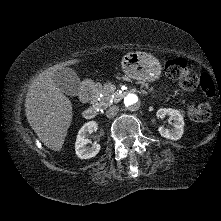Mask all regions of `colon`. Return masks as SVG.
<instances>
[{"mask_svg": "<svg viewBox=\"0 0 221 221\" xmlns=\"http://www.w3.org/2000/svg\"><path fill=\"white\" fill-rule=\"evenodd\" d=\"M167 76L178 82L185 91L200 89L205 97L211 98L214 95V83L206 73L197 74L187 66L183 58H173L166 62L164 67ZM189 117L195 122H205L209 119L211 108L208 103L198 106L187 107Z\"/></svg>", "mask_w": 221, "mask_h": 221, "instance_id": "5ec220e1", "label": "colon"}]
</instances>
